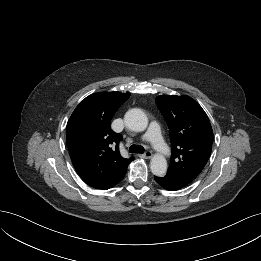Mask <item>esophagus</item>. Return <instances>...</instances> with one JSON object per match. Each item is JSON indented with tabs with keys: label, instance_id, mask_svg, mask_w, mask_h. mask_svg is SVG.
I'll return each mask as SVG.
<instances>
[{
	"label": "esophagus",
	"instance_id": "34e87169",
	"mask_svg": "<svg viewBox=\"0 0 261 261\" xmlns=\"http://www.w3.org/2000/svg\"><path fill=\"white\" fill-rule=\"evenodd\" d=\"M139 157L143 159H150L152 157V152L148 150L144 154H139Z\"/></svg>",
	"mask_w": 261,
	"mask_h": 261
}]
</instances>
